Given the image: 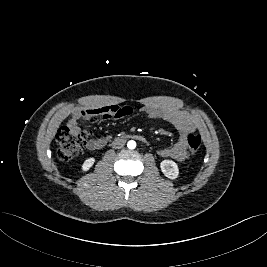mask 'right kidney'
Masks as SVG:
<instances>
[{
	"mask_svg": "<svg viewBox=\"0 0 267 267\" xmlns=\"http://www.w3.org/2000/svg\"><path fill=\"white\" fill-rule=\"evenodd\" d=\"M94 162L95 158L93 157L87 158L82 165V170L88 171L93 166Z\"/></svg>",
	"mask_w": 267,
	"mask_h": 267,
	"instance_id": "obj_1",
	"label": "right kidney"
}]
</instances>
